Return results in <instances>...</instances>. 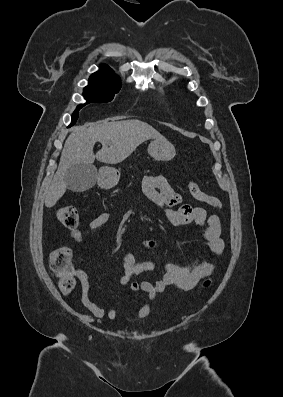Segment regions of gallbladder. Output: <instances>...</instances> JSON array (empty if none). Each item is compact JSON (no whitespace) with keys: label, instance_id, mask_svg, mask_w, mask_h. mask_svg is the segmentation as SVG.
I'll return each instance as SVG.
<instances>
[{"label":"gallbladder","instance_id":"gallbladder-1","mask_svg":"<svg viewBox=\"0 0 283 397\" xmlns=\"http://www.w3.org/2000/svg\"><path fill=\"white\" fill-rule=\"evenodd\" d=\"M96 168L90 164L71 166L64 175V181L69 190L84 192L92 188L96 182Z\"/></svg>","mask_w":283,"mask_h":397}]
</instances>
